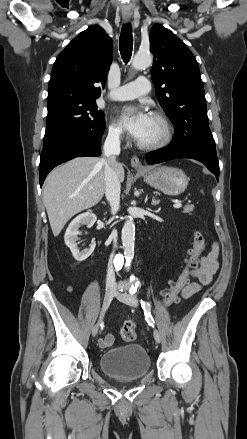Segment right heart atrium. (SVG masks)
<instances>
[{"label": "right heart atrium", "mask_w": 247, "mask_h": 439, "mask_svg": "<svg viewBox=\"0 0 247 439\" xmlns=\"http://www.w3.org/2000/svg\"><path fill=\"white\" fill-rule=\"evenodd\" d=\"M108 134L111 138L119 139L123 136V129L118 122L112 121L108 128Z\"/></svg>", "instance_id": "obj_1"}]
</instances>
